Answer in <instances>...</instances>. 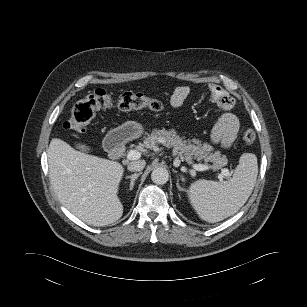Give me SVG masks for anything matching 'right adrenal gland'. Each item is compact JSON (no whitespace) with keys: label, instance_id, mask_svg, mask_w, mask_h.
Returning a JSON list of instances; mask_svg holds the SVG:
<instances>
[{"label":"right adrenal gland","instance_id":"right-adrenal-gland-1","mask_svg":"<svg viewBox=\"0 0 307 307\" xmlns=\"http://www.w3.org/2000/svg\"><path fill=\"white\" fill-rule=\"evenodd\" d=\"M141 175V173H134L130 176H127L126 179H130V188L129 190H132L133 187H134V183H135V180Z\"/></svg>","mask_w":307,"mask_h":307}]
</instances>
